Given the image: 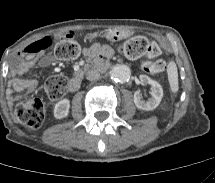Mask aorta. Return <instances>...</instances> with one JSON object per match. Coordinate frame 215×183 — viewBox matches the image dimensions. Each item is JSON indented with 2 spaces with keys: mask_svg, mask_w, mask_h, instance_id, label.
I'll use <instances>...</instances> for the list:
<instances>
[{
  "mask_svg": "<svg viewBox=\"0 0 215 183\" xmlns=\"http://www.w3.org/2000/svg\"><path fill=\"white\" fill-rule=\"evenodd\" d=\"M110 75L114 80L125 82L130 78L131 70L127 65L117 64L111 69Z\"/></svg>",
  "mask_w": 215,
  "mask_h": 183,
  "instance_id": "1",
  "label": "aorta"
}]
</instances>
